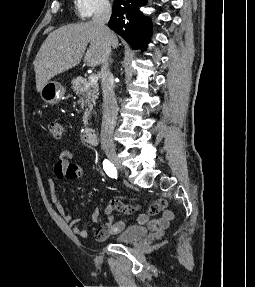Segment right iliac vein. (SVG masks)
<instances>
[{
	"label": "right iliac vein",
	"mask_w": 255,
	"mask_h": 287,
	"mask_svg": "<svg viewBox=\"0 0 255 287\" xmlns=\"http://www.w3.org/2000/svg\"><path fill=\"white\" fill-rule=\"evenodd\" d=\"M105 153L108 157V159L115 164L118 168H121L120 162L118 160L116 151L113 147H107L105 148Z\"/></svg>",
	"instance_id": "1"
}]
</instances>
